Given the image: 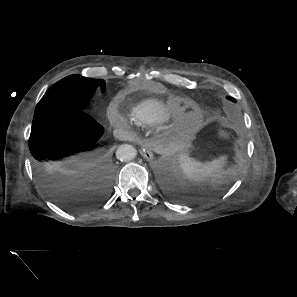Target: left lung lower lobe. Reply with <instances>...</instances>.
<instances>
[{
  "mask_svg": "<svg viewBox=\"0 0 297 297\" xmlns=\"http://www.w3.org/2000/svg\"><path fill=\"white\" fill-rule=\"evenodd\" d=\"M214 193H218V191H213Z\"/></svg>",
  "mask_w": 297,
  "mask_h": 297,
  "instance_id": "left-lung-lower-lobe-1",
  "label": "left lung lower lobe"
}]
</instances>
